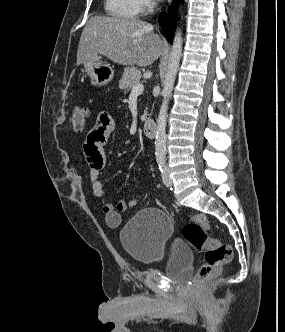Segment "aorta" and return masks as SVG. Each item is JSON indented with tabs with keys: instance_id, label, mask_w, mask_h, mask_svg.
I'll list each match as a JSON object with an SVG mask.
<instances>
[{
	"instance_id": "762f6f07",
	"label": "aorta",
	"mask_w": 285,
	"mask_h": 332,
	"mask_svg": "<svg viewBox=\"0 0 285 332\" xmlns=\"http://www.w3.org/2000/svg\"><path fill=\"white\" fill-rule=\"evenodd\" d=\"M182 33L178 30L175 33L167 72L165 75L162 95L163 101L157 118L156 138H155V155L156 158L162 160L166 155V121L169 100L173 91L176 75L179 69L180 59L182 55Z\"/></svg>"
}]
</instances>
